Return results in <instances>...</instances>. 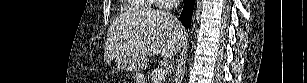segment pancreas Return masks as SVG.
I'll use <instances>...</instances> for the list:
<instances>
[{
	"label": "pancreas",
	"instance_id": "1",
	"mask_svg": "<svg viewBox=\"0 0 307 83\" xmlns=\"http://www.w3.org/2000/svg\"><path fill=\"white\" fill-rule=\"evenodd\" d=\"M158 71H159V68H155V69H153V70L151 71V73H150L151 79H154V78L156 77Z\"/></svg>",
	"mask_w": 307,
	"mask_h": 83
}]
</instances>
